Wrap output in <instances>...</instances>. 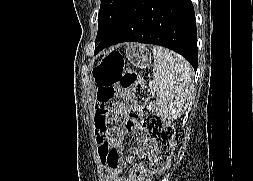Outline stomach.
Instances as JSON below:
<instances>
[{
    "label": "stomach",
    "instance_id": "0dacf381",
    "mask_svg": "<svg viewBox=\"0 0 253 181\" xmlns=\"http://www.w3.org/2000/svg\"><path fill=\"white\" fill-rule=\"evenodd\" d=\"M126 58L136 68L145 69L151 63V55L147 49L138 44H131L126 49Z\"/></svg>",
    "mask_w": 253,
    "mask_h": 181
}]
</instances>
